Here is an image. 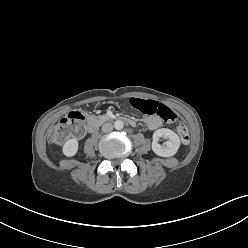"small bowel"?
<instances>
[{"mask_svg":"<svg viewBox=\"0 0 248 248\" xmlns=\"http://www.w3.org/2000/svg\"><path fill=\"white\" fill-rule=\"evenodd\" d=\"M150 130H155L161 126V120L157 116H148L143 119Z\"/></svg>","mask_w":248,"mask_h":248,"instance_id":"c3829d8e","label":"small bowel"}]
</instances>
